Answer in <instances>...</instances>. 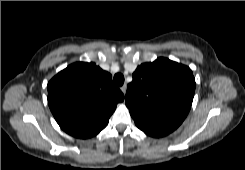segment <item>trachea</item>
I'll use <instances>...</instances> for the list:
<instances>
[{
    "label": "trachea",
    "instance_id": "3493384b",
    "mask_svg": "<svg viewBox=\"0 0 245 170\" xmlns=\"http://www.w3.org/2000/svg\"><path fill=\"white\" fill-rule=\"evenodd\" d=\"M114 83H115V85H117L119 87L122 86L123 83H124V75L121 74V73L115 74V76H114Z\"/></svg>",
    "mask_w": 245,
    "mask_h": 170
}]
</instances>
